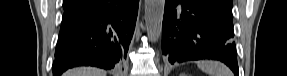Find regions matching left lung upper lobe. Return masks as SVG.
I'll use <instances>...</instances> for the list:
<instances>
[{
    "label": "left lung upper lobe",
    "instance_id": "5c2ea615",
    "mask_svg": "<svg viewBox=\"0 0 287 76\" xmlns=\"http://www.w3.org/2000/svg\"><path fill=\"white\" fill-rule=\"evenodd\" d=\"M209 4L218 12L232 18V0H197Z\"/></svg>",
    "mask_w": 287,
    "mask_h": 76
}]
</instances>
